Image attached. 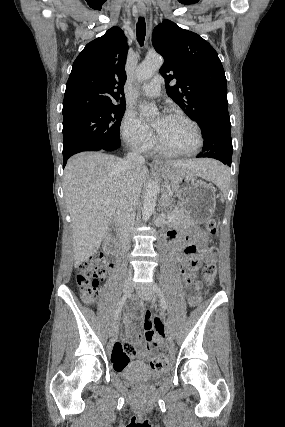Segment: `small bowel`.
Masks as SVG:
<instances>
[{
	"label": "small bowel",
	"instance_id": "c3829d8e",
	"mask_svg": "<svg viewBox=\"0 0 285 427\" xmlns=\"http://www.w3.org/2000/svg\"><path fill=\"white\" fill-rule=\"evenodd\" d=\"M183 231L171 230L168 233L169 239L174 245L176 251L180 253L183 246ZM184 261L183 258H180ZM198 298L194 301H190V304L193 305L198 302ZM144 311L143 308H141ZM145 312V311H144ZM124 323L128 328L127 336L133 338L135 341V349L131 354H126L122 347L121 343L115 340L112 343V364L117 369H122L129 359H134L139 362L148 361L152 357V341L158 340L160 336V331L157 329V321L151 319L150 317L145 318L143 322L144 327V337L142 333L136 328V319L133 314L125 316Z\"/></svg>",
	"mask_w": 285,
	"mask_h": 427
}]
</instances>
